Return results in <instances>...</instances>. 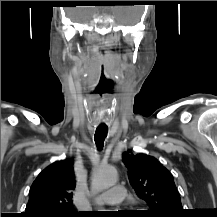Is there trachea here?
Masks as SVG:
<instances>
[{
	"label": "trachea",
	"instance_id": "3493384b",
	"mask_svg": "<svg viewBox=\"0 0 217 217\" xmlns=\"http://www.w3.org/2000/svg\"><path fill=\"white\" fill-rule=\"evenodd\" d=\"M108 133V128L107 127H97L95 135H94V140L97 145V148L101 150L104 145V140L107 136Z\"/></svg>",
	"mask_w": 217,
	"mask_h": 217
}]
</instances>
